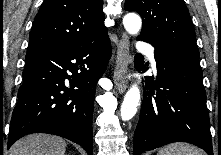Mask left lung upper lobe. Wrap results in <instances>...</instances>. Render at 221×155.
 Returning a JSON list of instances; mask_svg holds the SVG:
<instances>
[{"label": "left lung upper lobe", "instance_id": "left-lung-upper-lobe-1", "mask_svg": "<svg viewBox=\"0 0 221 155\" xmlns=\"http://www.w3.org/2000/svg\"><path fill=\"white\" fill-rule=\"evenodd\" d=\"M124 8L142 17L138 38L199 54L195 30L183 0H126Z\"/></svg>", "mask_w": 221, "mask_h": 155}]
</instances>
